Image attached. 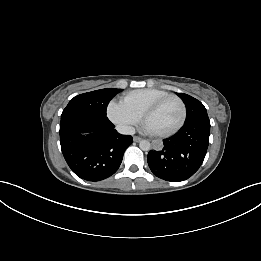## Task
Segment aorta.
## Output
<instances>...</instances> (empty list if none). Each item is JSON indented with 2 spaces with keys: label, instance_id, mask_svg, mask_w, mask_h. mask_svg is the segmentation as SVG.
Instances as JSON below:
<instances>
[{
  "label": "aorta",
  "instance_id": "obj_1",
  "mask_svg": "<svg viewBox=\"0 0 261 261\" xmlns=\"http://www.w3.org/2000/svg\"><path fill=\"white\" fill-rule=\"evenodd\" d=\"M139 147H140L143 151H148V150H150V148H151V144H150V142L147 141V140H142V141H140V143H139Z\"/></svg>",
  "mask_w": 261,
  "mask_h": 261
}]
</instances>
